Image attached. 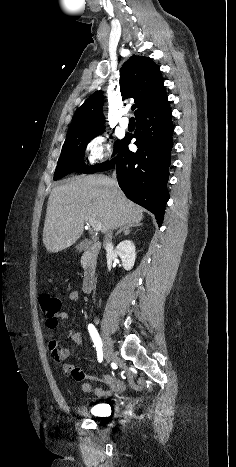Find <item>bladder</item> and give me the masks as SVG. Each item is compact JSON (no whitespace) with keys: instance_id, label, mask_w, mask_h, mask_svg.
Returning <instances> with one entry per match:
<instances>
[{"instance_id":"31cf9c89","label":"bladder","mask_w":236,"mask_h":467,"mask_svg":"<svg viewBox=\"0 0 236 467\" xmlns=\"http://www.w3.org/2000/svg\"><path fill=\"white\" fill-rule=\"evenodd\" d=\"M108 404H98L95 406H92L88 409V413L92 414H100V413H105L108 410Z\"/></svg>"}]
</instances>
